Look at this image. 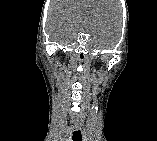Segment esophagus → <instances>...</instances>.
Segmentation results:
<instances>
[{"instance_id": "34e87169", "label": "esophagus", "mask_w": 157, "mask_h": 141, "mask_svg": "<svg viewBox=\"0 0 157 141\" xmlns=\"http://www.w3.org/2000/svg\"><path fill=\"white\" fill-rule=\"evenodd\" d=\"M75 129H76V130H79V129H80V127H79V126H76V127H75Z\"/></svg>"}]
</instances>
